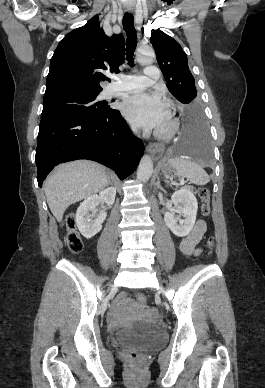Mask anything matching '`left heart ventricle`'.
<instances>
[{"label":"left heart ventricle","mask_w":265,"mask_h":388,"mask_svg":"<svg viewBox=\"0 0 265 388\" xmlns=\"http://www.w3.org/2000/svg\"><path fill=\"white\" fill-rule=\"evenodd\" d=\"M154 87V85L153 84H149V86H144V88H153Z\"/></svg>","instance_id":"b2bd125f"}]
</instances>
